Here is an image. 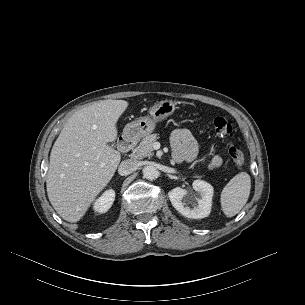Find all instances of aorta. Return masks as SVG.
<instances>
[{"mask_svg": "<svg viewBox=\"0 0 305 305\" xmlns=\"http://www.w3.org/2000/svg\"><path fill=\"white\" fill-rule=\"evenodd\" d=\"M143 175L146 179L153 180V179L157 178L158 171L154 166L148 165V166L144 167Z\"/></svg>", "mask_w": 305, "mask_h": 305, "instance_id": "obj_1", "label": "aorta"}]
</instances>
